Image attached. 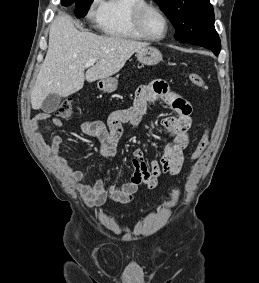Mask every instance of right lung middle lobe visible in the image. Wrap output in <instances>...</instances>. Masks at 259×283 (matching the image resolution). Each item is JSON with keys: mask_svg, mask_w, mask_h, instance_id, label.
Here are the masks:
<instances>
[{"mask_svg": "<svg viewBox=\"0 0 259 283\" xmlns=\"http://www.w3.org/2000/svg\"><path fill=\"white\" fill-rule=\"evenodd\" d=\"M75 3V14L78 18H82L87 14L89 6L93 2V0H71Z\"/></svg>", "mask_w": 259, "mask_h": 283, "instance_id": "right-lung-middle-lobe-1", "label": "right lung middle lobe"}]
</instances>
